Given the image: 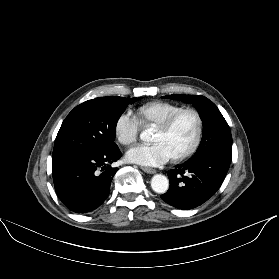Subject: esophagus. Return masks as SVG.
Masks as SVG:
<instances>
[{"instance_id": "1", "label": "esophagus", "mask_w": 279, "mask_h": 279, "mask_svg": "<svg viewBox=\"0 0 279 279\" xmlns=\"http://www.w3.org/2000/svg\"><path fill=\"white\" fill-rule=\"evenodd\" d=\"M141 169H142L144 172L149 173V174H154V173H156V170L153 169V168L141 167Z\"/></svg>"}]
</instances>
